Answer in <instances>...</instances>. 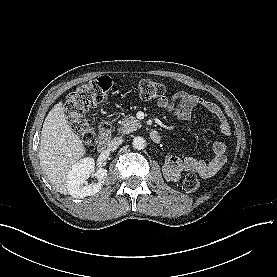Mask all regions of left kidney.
Returning <instances> with one entry per match:
<instances>
[{"label": "left kidney", "mask_w": 277, "mask_h": 277, "mask_svg": "<svg viewBox=\"0 0 277 277\" xmlns=\"http://www.w3.org/2000/svg\"><path fill=\"white\" fill-rule=\"evenodd\" d=\"M178 170H176V168H173V167H169V168H165L164 169V172L165 173H169V174H174V173H180L179 171L177 172Z\"/></svg>", "instance_id": "left-kidney-1"}]
</instances>
